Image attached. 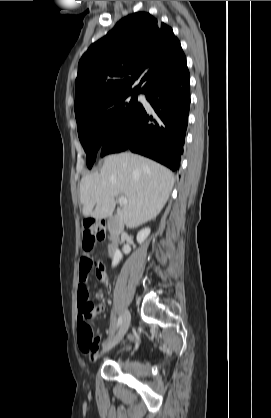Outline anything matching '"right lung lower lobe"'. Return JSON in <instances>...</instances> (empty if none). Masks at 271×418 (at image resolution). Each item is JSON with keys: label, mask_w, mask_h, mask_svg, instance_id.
I'll return each instance as SVG.
<instances>
[{"label": "right lung lower lobe", "mask_w": 271, "mask_h": 418, "mask_svg": "<svg viewBox=\"0 0 271 418\" xmlns=\"http://www.w3.org/2000/svg\"><path fill=\"white\" fill-rule=\"evenodd\" d=\"M151 115L141 106L112 131L101 147V156L125 151L152 158L176 171L183 153L190 107V82L186 61L158 82L147 94Z\"/></svg>", "instance_id": "right-lung-lower-lobe-1"}]
</instances>
